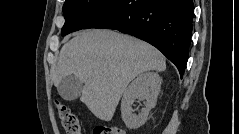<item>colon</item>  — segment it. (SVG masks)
Listing matches in <instances>:
<instances>
[{"label":"colon","instance_id":"5ec220e1","mask_svg":"<svg viewBox=\"0 0 239 134\" xmlns=\"http://www.w3.org/2000/svg\"><path fill=\"white\" fill-rule=\"evenodd\" d=\"M57 111L68 134H80V125L77 115L67 106L57 103ZM94 134H125L117 127L98 126Z\"/></svg>","mask_w":239,"mask_h":134}]
</instances>
